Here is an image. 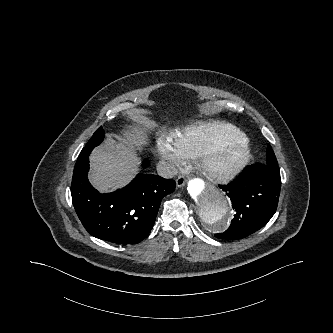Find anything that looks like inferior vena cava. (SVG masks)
Wrapping results in <instances>:
<instances>
[{
    "label": "inferior vena cava",
    "instance_id": "1",
    "mask_svg": "<svg viewBox=\"0 0 333 333\" xmlns=\"http://www.w3.org/2000/svg\"><path fill=\"white\" fill-rule=\"evenodd\" d=\"M158 175L163 178H173L177 175L178 171L175 165L171 162L160 161L157 165Z\"/></svg>",
    "mask_w": 333,
    "mask_h": 333
}]
</instances>
